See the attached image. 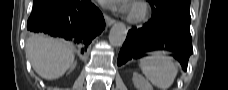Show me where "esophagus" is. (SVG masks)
<instances>
[{
    "instance_id": "esophagus-1",
    "label": "esophagus",
    "mask_w": 228,
    "mask_h": 90,
    "mask_svg": "<svg viewBox=\"0 0 228 90\" xmlns=\"http://www.w3.org/2000/svg\"><path fill=\"white\" fill-rule=\"evenodd\" d=\"M105 22L107 26H111L115 23V20L108 15H105Z\"/></svg>"
}]
</instances>
